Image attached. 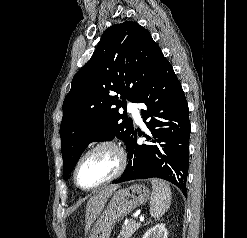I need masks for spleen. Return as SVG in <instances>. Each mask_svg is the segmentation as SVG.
<instances>
[{"label":"spleen","mask_w":247,"mask_h":238,"mask_svg":"<svg viewBox=\"0 0 247 238\" xmlns=\"http://www.w3.org/2000/svg\"><path fill=\"white\" fill-rule=\"evenodd\" d=\"M152 194L150 214L154 218H160L170 206L171 190L169 185L160 179H152Z\"/></svg>","instance_id":"1"}]
</instances>
